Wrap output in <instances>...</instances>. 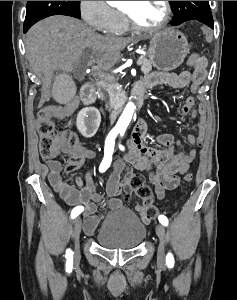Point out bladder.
Instances as JSON below:
<instances>
[{
  "label": "bladder",
  "mask_w": 237,
  "mask_h": 300,
  "mask_svg": "<svg viewBox=\"0 0 237 300\" xmlns=\"http://www.w3.org/2000/svg\"><path fill=\"white\" fill-rule=\"evenodd\" d=\"M95 240L106 249L130 250L138 247L146 237V226L130 210L109 216L96 231Z\"/></svg>",
  "instance_id": "1"
}]
</instances>
